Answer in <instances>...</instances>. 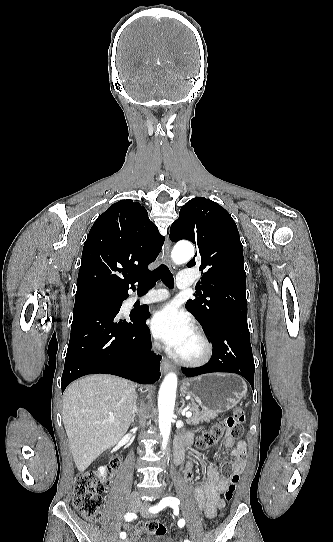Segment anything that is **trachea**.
<instances>
[{
    "label": "trachea",
    "mask_w": 333,
    "mask_h": 542,
    "mask_svg": "<svg viewBox=\"0 0 333 542\" xmlns=\"http://www.w3.org/2000/svg\"><path fill=\"white\" fill-rule=\"evenodd\" d=\"M161 279L162 282L169 288L174 287V278L169 268L162 264L156 268L149 277L139 280V289H150L154 287L156 282Z\"/></svg>",
    "instance_id": "trachea-1"
}]
</instances>
